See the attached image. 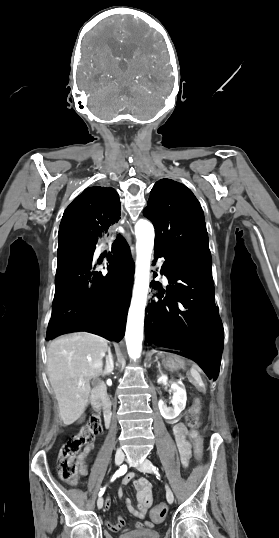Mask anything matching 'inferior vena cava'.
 Wrapping results in <instances>:
<instances>
[{"label": "inferior vena cava", "instance_id": "inferior-vena-cava-1", "mask_svg": "<svg viewBox=\"0 0 279 538\" xmlns=\"http://www.w3.org/2000/svg\"><path fill=\"white\" fill-rule=\"evenodd\" d=\"M102 356H104V353L102 354ZM108 362H109V361H106V363H108ZM117 455H120V456H122V457H123V459H124V456H125V455H124V454H123V452L121 451V448L117 450V452H116V455H115V456H117Z\"/></svg>", "mask_w": 279, "mask_h": 538}]
</instances>
